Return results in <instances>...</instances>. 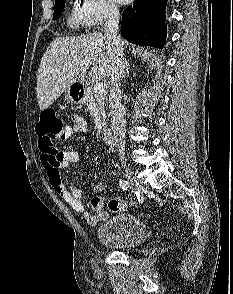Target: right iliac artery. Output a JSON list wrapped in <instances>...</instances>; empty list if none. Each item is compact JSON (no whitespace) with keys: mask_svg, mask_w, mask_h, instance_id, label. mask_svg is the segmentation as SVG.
Here are the masks:
<instances>
[{"mask_svg":"<svg viewBox=\"0 0 233 294\" xmlns=\"http://www.w3.org/2000/svg\"><path fill=\"white\" fill-rule=\"evenodd\" d=\"M119 185L123 190H128L129 189V184L125 180H120Z\"/></svg>","mask_w":233,"mask_h":294,"instance_id":"obj_1","label":"right iliac artery"}]
</instances>
